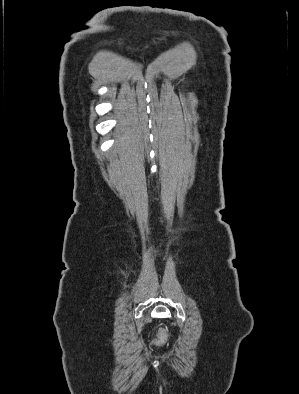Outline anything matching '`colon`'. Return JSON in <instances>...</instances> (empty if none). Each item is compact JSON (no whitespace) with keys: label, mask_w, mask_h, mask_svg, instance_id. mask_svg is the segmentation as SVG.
<instances>
[{"label":"colon","mask_w":299,"mask_h":394,"mask_svg":"<svg viewBox=\"0 0 299 394\" xmlns=\"http://www.w3.org/2000/svg\"><path fill=\"white\" fill-rule=\"evenodd\" d=\"M169 340L168 332L165 328H160L158 330L156 338L151 342L152 346L161 347L167 344Z\"/></svg>","instance_id":"colon-1"}]
</instances>
